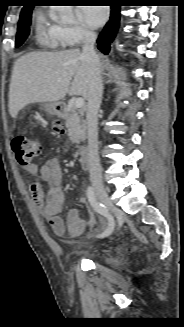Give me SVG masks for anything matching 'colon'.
Segmentation results:
<instances>
[{"instance_id":"1","label":"colon","mask_w":184,"mask_h":327,"mask_svg":"<svg viewBox=\"0 0 184 327\" xmlns=\"http://www.w3.org/2000/svg\"><path fill=\"white\" fill-rule=\"evenodd\" d=\"M54 129L58 133L62 132L59 124H55ZM11 147L16 155L17 161L22 166L29 165L41 153L40 143L36 139L29 138L24 134H16L11 141ZM90 221L92 224H95L96 220L93 214L90 215Z\"/></svg>"}]
</instances>
